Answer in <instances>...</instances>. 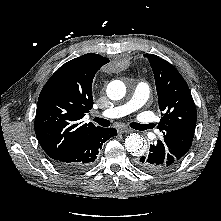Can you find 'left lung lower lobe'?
<instances>
[{
  "instance_id": "left-lung-lower-lobe-1",
  "label": "left lung lower lobe",
  "mask_w": 221,
  "mask_h": 221,
  "mask_svg": "<svg viewBox=\"0 0 221 221\" xmlns=\"http://www.w3.org/2000/svg\"><path fill=\"white\" fill-rule=\"evenodd\" d=\"M136 165L146 172L164 173L174 168L177 162L163 141L158 140L150 145L149 152L141 156Z\"/></svg>"
}]
</instances>
